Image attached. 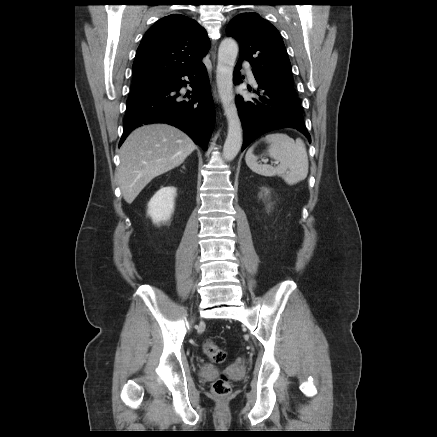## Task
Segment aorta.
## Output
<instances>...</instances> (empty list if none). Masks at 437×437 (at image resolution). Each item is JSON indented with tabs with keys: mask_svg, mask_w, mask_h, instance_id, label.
Instances as JSON below:
<instances>
[{
	"mask_svg": "<svg viewBox=\"0 0 437 437\" xmlns=\"http://www.w3.org/2000/svg\"><path fill=\"white\" fill-rule=\"evenodd\" d=\"M238 54V45L232 38H225L218 50L216 82L228 122L227 138L223 147V157L226 161L233 160L242 146V126L238 116L233 94V70Z\"/></svg>",
	"mask_w": 437,
	"mask_h": 437,
	"instance_id": "aorta-1",
	"label": "aorta"
}]
</instances>
